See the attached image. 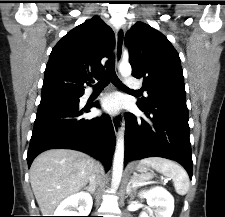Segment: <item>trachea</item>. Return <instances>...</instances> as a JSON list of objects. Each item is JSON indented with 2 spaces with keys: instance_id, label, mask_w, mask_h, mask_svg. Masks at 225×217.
<instances>
[{
  "instance_id": "obj_1",
  "label": "trachea",
  "mask_w": 225,
  "mask_h": 217,
  "mask_svg": "<svg viewBox=\"0 0 225 217\" xmlns=\"http://www.w3.org/2000/svg\"><path fill=\"white\" fill-rule=\"evenodd\" d=\"M107 65H108V67H107L106 73L102 77V79L98 82V84L96 85V88L101 89V88L105 87L108 83L112 82L117 87L129 89L120 81V79L117 77V75L115 73L114 56H112L107 61Z\"/></svg>"
}]
</instances>
